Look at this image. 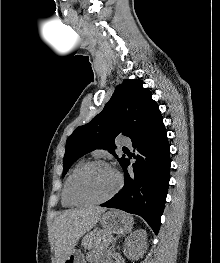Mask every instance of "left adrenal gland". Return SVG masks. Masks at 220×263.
I'll return each instance as SVG.
<instances>
[{
    "label": "left adrenal gland",
    "mask_w": 220,
    "mask_h": 263,
    "mask_svg": "<svg viewBox=\"0 0 220 263\" xmlns=\"http://www.w3.org/2000/svg\"><path fill=\"white\" fill-rule=\"evenodd\" d=\"M120 237H117V238H114L113 239V242H112V250L115 251V244H116V241L117 239H119Z\"/></svg>",
    "instance_id": "a2214340"
}]
</instances>
